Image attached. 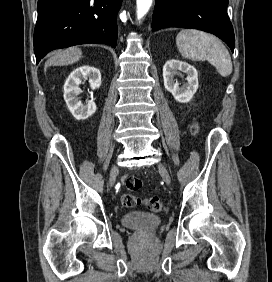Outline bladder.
<instances>
[{"label":"bladder","mask_w":272,"mask_h":282,"mask_svg":"<svg viewBox=\"0 0 272 282\" xmlns=\"http://www.w3.org/2000/svg\"><path fill=\"white\" fill-rule=\"evenodd\" d=\"M121 222L138 232H150L162 223V218L155 214L130 212L121 217Z\"/></svg>","instance_id":"31cf9c89"}]
</instances>
